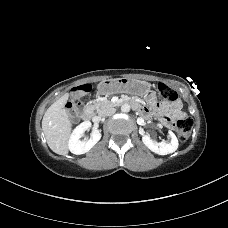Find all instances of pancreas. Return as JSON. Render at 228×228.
Listing matches in <instances>:
<instances>
[{
	"instance_id": "pancreas-1",
	"label": "pancreas",
	"mask_w": 228,
	"mask_h": 228,
	"mask_svg": "<svg viewBox=\"0 0 228 228\" xmlns=\"http://www.w3.org/2000/svg\"><path fill=\"white\" fill-rule=\"evenodd\" d=\"M114 106L112 102L107 99L101 101H94L91 107L96 110L97 113H101L104 109Z\"/></svg>"
}]
</instances>
